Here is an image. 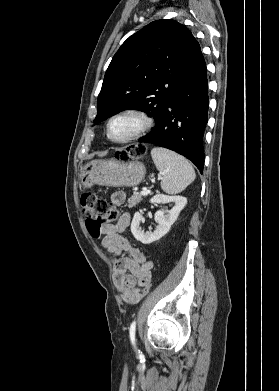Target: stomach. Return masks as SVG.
I'll return each mask as SVG.
<instances>
[{"label":"stomach","instance_id":"0dacf381","mask_svg":"<svg viewBox=\"0 0 279 391\" xmlns=\"http://www.w3.org/2000/svg\"><path fill=\"white\" fill-rule=\"evenodd\" d=\"M146 168L139 161L93 160L81 169L80 182L85 188L94 184L111 187H133L144 179Z\"/></svg>","mask_w":279,"mask_h":391}]
</instances>
